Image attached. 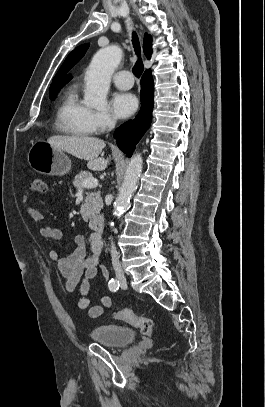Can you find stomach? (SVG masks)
<instances>
[{"mask_svg":"<svg viewBox=\"0 0 265 407\" xmlns=\"http://www.w3.org/2000/svg\"><path fill=\"white\" fill-rule=\"evenodd\" d=\"M28 162L38 173L63 176L71 168V161L64 151L45 141H38L29 150Z\"/></svg>","mask_w":265,"mask_h":407,"instance_id":"1","label":"stomach"}]
</instances>
